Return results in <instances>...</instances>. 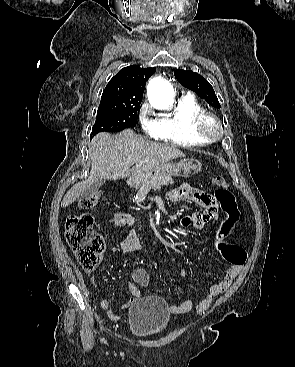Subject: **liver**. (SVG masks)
<instances>
[{
	"label": "liver",
	"instance_id": "6515ba94",
	"mask_svg": "<svg viewBox=\"0 0 295 367\" xmlns=\"http://www.w3.org/2000/svg\"><path fill=\"white\" fill-rule=\"evenodd\" d=\"M177 147L149 141L126 129L117 135L97 134L89 145L90 175L65 194L61 206L67 207L97 180H117L139 176L172 159L184 157ZM134 167L131 169V166Z\"/></svg>",
	"mask_w": 295,
	"mask_h": 367
}]
</instances>
